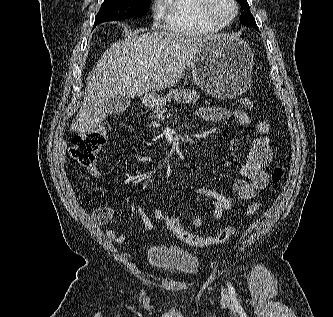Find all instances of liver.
Here are the masks:
<instances>
[{
    "label": "liver",
    "instance_id": "1",
    "mask_svg": "<svg viewBox=\"0 0 333 317\" xmlns=\"http://www.w3.org/2000/svg\"><path fill=\"white\" fill-rule=\"evenodd\" d=\"M212 37L157 31L113 43L88 77L81 108L70 130L85 136L105 120L114 96L134 98L175 85L202 45Z\"/></svg>",
    "mask_w": 333,
    "mask_h": 317
}]
</instances>
